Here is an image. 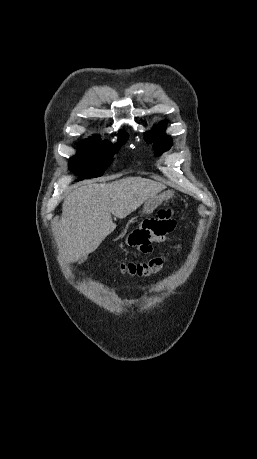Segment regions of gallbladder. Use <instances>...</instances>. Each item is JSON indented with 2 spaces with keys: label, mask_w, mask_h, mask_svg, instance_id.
<instances>
[{
  "label": "gallbladder",
  "mask_w": 257,
  "mask_h": 459,
  "mask_svg": "<svg viewBox=\"0 0 257 459\" xmlns=\"http://www.w3.org/2000/svg\"><path fill=\"white\" fill-rule=\"evenodd\" d=\"M87 259V256H83L80 258V262H84Z\"/></svg>",
  "instance_id": "bac80fb5"
}]
</instances>
